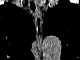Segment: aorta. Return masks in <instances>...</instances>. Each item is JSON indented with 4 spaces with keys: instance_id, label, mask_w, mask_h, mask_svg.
Masks as SVG:
<instances>
[{
    "instance_id": "aorta-1",
    "label": "aorta",
    "mask_w": 80,
    "mask_h": 60,
    "mask_svg": "<svg viewBox=\"0 0 80 60\" xmlns=\"http://www.w3.org/2000/svg\"><path fill=\"white\" fill-rule=\"evenodd\" d=\"M43 44H44V49L48 53L61 54L62 45L58 37L56 36L47 37L45 38Z\"/></svg>"
}]
</instances>
